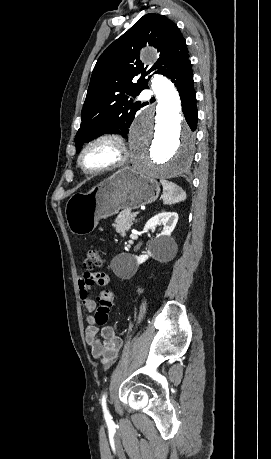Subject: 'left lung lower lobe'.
<instances>
[{
  "label": "left lung lower lobe",
  "mask_w": 271,
  "mask_h": 459,
  "mask_svg": "<svg viewBox=\"0 0 271 459\" xmlns=\"http://www.w3.org/2000/svg\"><path fill=\"white\" fill-rule=\"evenodd\" d=\"M175 84L182 101V110L192 131L196 130L198 111L196 107V93L194 90L193 71L191 61L186 59L176 70L168 76Z\"/></svg>",
  "instance_id": "1"
}]
</instances>
